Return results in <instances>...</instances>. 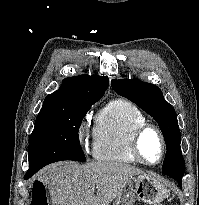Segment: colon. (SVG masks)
<instances>
[{"mask_svg": "<svg viewBox=\"0 0 199 205\" xmlns=\"http://www.w3.org/2000/svg\"><path fill=\"white\" fill-rule=\"evenodd\" d=\"M31 205H48L45 191L36 189Z\"/></svg>", "mask_w": 199, "mask_h": 205, "instance_id": "obj_1", "label": "colon"}]
</instances>
